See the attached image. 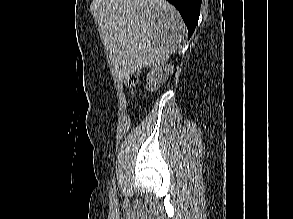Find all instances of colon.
I'll return each instance as SVG.
<instances>
[{
    "label": "colon",
    "mask_w": 293,
    "mask_h": 219,
    "mask_svg": "<svg viewBox=\"0 0 293 219\" xmlns=\"http://www.w3.org/2000/svg\"><path fill=\"white\" fill-rule=\"evenodd\" d=\"M138 82V77L134 74L130 75L127 79H126V85L128 87H133L137 84Z\"/></svg>",
    "instance_id": "colon-1"
}]
</instances>
